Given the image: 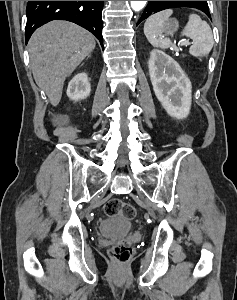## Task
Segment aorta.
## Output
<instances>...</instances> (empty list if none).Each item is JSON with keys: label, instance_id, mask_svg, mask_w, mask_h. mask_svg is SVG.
Listing matches in <instances>:
<instances>
[{"label": "aorta", "instance_id": "obj_1", "mask_svg": "<svg viewBox=\"0 0 237 300\" xmlns=\"http://www.w3.org/2000/svg\"><path fill=\"white\" fill-rule=\"evenodd\" d=\"M146 3L147 1H130L133 11H141V9H144Z\"/></svg>", "mask_w": 237, "mask_h": 300}]
</instances>
